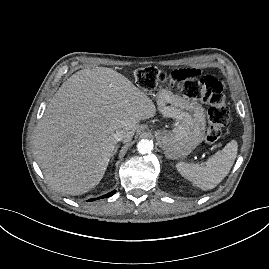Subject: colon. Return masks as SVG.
<instances>
[{"instance_id": "colon-1", "label": "colon", "mask_w": 269, "mask_h": 269, "mask_svg": "<svg viewBox=\"0 0 269 269\" xmlns=\"http://www.w3.org/2000/svg\"><path fill=\"white\" fill-rule=\"evenodd\" d=\"M168 77L169 74L155 67H143L135 71L137 85L147 91L154 90L161 84L174 85ZM176 84L186 97L202 100L209 105L206 141H218L222 137L223 127L229 120V108L225 102L221 82L216 77L207 75L202 79L195 78Z\"/></svg>"}]
</instances>
